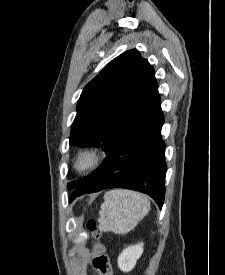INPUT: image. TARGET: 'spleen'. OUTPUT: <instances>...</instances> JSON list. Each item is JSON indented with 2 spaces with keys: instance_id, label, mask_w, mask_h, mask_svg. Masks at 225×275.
Wrapping results in <instances>:
<instances>
[{
  "instance_id": "1",
  "label": "spleen",
  "mask_w": 225,
  "mask_h": 275,
  "mask_svg": "<svg viewBox=\"0 0 225 275\" xmlns=\"http://www.w3.org/2000/svg\"><path fill=\"white\" fill-rule=\"evenodd\" d=\"M150 210L148 198L138 192L115 189L106 192L99 211V230L126 234L132 231Z\"/></svg>"
}]
</instances>
